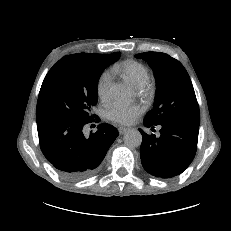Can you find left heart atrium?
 <instances>
[{"instance_id":"39dd6f15","label":"left heart atrium","mask_w":231,"mask_h":231,"mask_svg":"<svg viewBox=\"0 0 231 231\" xmlns=\"http://www.w3.org/2000/svg\"><path fill=\"white\" fill-rule=\"evenodd\" d=\"M142 112L137 104L126 105L119 102L113 103L108 111V117L119 124H130Z\"/></svg>"}]
</instances>
